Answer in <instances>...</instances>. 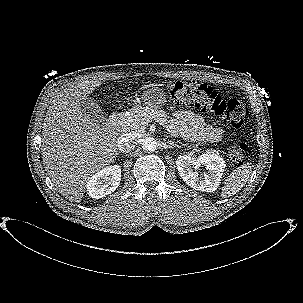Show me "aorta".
Wrapping results in <instances>:
<instances>
[{
  "label": "aorta",
  "instance_id": "aorta-1",
  "mask_svg": "<svg viewBox=\"0 0 303 303\" xmlns=\"http://www.w3.org/2000/svg\"><path fill=\"white\" fill-rule=\"evenodd\" d=\"M141 144L145 151L153 152L157 149V141L152 137L144 138Z\"/></svg>",
  "mask_w": 303,
  "mask_h": 303
}]
</instances>
